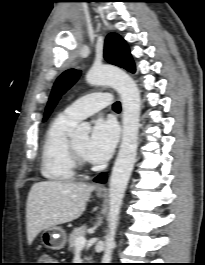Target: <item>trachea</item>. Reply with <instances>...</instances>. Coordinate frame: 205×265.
Returning a JSON list of instances; mask_svg holds the SVG:
<instances>
[{
  "label": "trachea",
  "mask_w": 205,
  "mask_h": 265,
  "mask_svg": "<svg viewBox=\"0 0 205 265\" xmlns=\"http://www.w3.org/2000/svg\"><path fill=\"white\" fill-rule=\"evenodd\" d=\"M113 109L116 110V111H118V110L121 109V105H120V102L119 101H117V102H115L113 104Z\"/></svg>",
  "instance_id": "trachea-1"
}]
</instances>
